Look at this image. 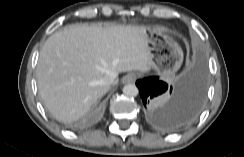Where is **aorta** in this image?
Masks as SVG:
<instances>
[{"instance_id":"1","label":"aorta","mask_w":244,"mask_h":157,"mask_svg":"<svg viewBox=\"0 0 244 157\" xmlns=\"http://www.w3.org/2000/svg\"><path fill=\"white\" fill-rule=\"evenodd\" d=\"M123 93L129 97H135L138 95V88L134 84H127L123 87Z\"/></svg>"}]
</instances>
